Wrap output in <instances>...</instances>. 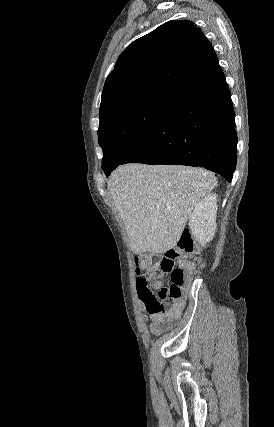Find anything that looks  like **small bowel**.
Returning <instances> with one entry per match:
<instances>
[{"mask_svg":"<svg viewBox=\"0 0 274 427\" xmlns=\"http://www.w3.org/2000/svg\"><path fill=\"white\" fill-rule=\"evenodd\" d=\"M191 258V255H188ZM177 265L184 269H190L195 272V266L188 259H179ZM144 278L150 277L148 273L143 274ZM152 291V288L149 286ZM153 292V291H152ZM183 303L179 300L174 301L172 305L162 312L150 315L151 331L158 335L169 329L172 324L181 316L183 310Z\"/></svg>","mask_w":274,"mask_h":427,"instance_id":"small-bowel-1","label":"small bowel"}]
</instances>
